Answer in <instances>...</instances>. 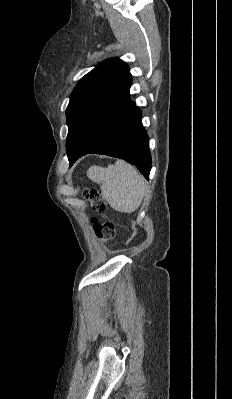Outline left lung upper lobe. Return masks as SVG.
I'll return each instance as SVG.
<instances>
[{
    "label": "left lung upper lobe",
    "instance_id": "left-lung-upper-lobe-1",
    "mask_svg": "<svg viewBox=\"0 0 232 399\" xmlns=\"http://www.w3.org/2000/svg\"><path fill=\"white\" fill-rule=\"evenodd\" d=\"M131 84L128 65L117 58L99 63L78 82L66 109L70 164L102 142L130 112Z\"/></svg>",
    "mask_w": 232,
    "mask_h": 399
}]
</instances>
